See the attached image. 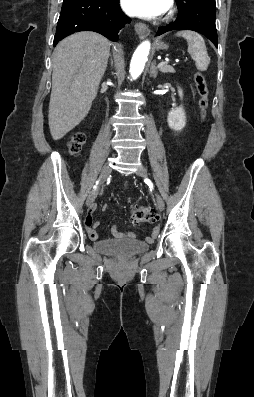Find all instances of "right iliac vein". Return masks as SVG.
<instances>
[{
    "label": "right iliac vein",
    "mask_w": 254,
    "mask_h": 397,
    "mask_svg": "<svg viewBox=\"0 0 254 397\" xmlns=\"http://www.w3.org/2000/svg\"><path fill=\"white\" fill-rule=\"evenodd\" d=\"M110 173H111V168H110L109 164H105L101 171L100 184L88 196L87 201H86L87 206H90L95 201L98 191H99V188H100V185L108 178Z\"/></svg>",
    "instance_id": "1"
}]
</instances>
